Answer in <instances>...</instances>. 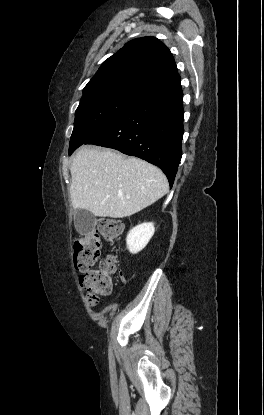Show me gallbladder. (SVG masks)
Masks as SVG:
<instances>
[{
	"mask_svg": "<svg viewBox=\"0 0 264 415\" xmlns=\"http://www.w3.org/2000/svg\"><path fill=\"white\" fill-rule=\"evenodd\" d=\"M95 222V216L88 210L79 209L75 215V227L81 235L90 233Z\"/></svg>",
	"mask_w": 264,
	"mask_h": 415,
	"instance_id": "bac80fb5",
	"label": "gallbladder"
}]
</instances>
